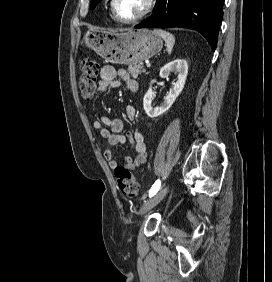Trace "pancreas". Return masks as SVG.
<instances>
[{"label": "pancreas", "instance_id": "cf45deb5", "mask_svg": "<svg viewBox=\"0 0 272 282\" xmlns=\"http://www.w3.org/2000/svg\"><path fill=\"white\" fill-rule=\"evenodd\" d=\"M127 70L131 74V76L134 77V78H137L141 73L145 72V69H143L142 64L129 65Z\"/></svg>", "mask_w": 272, "mask_h": 282}]
</instances>
